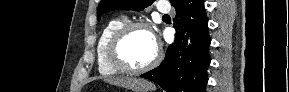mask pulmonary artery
Returning a JSON list of instances; mask_svg holds the SVG:
<instances>
[{
    "mask_svg": "<svg viewBox=\"0 0 289 92\" xmlns=\"http://www.w3.org/2000/svg\"><path fill=\"white\" fill-rule=\"evenodd\" d=\"M157 10L160 13L168 14L170 12V6L167 3L162 2L157 5Z\"/></svg>",
    "mask_w": 289,
    "mask_h": 92,
    "instance_id": "obj_1",
    "label": "pulmonary artery"
}]
</instances>
